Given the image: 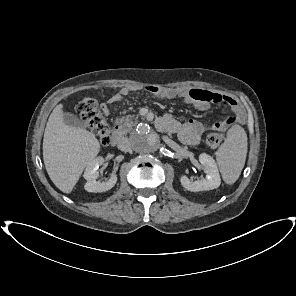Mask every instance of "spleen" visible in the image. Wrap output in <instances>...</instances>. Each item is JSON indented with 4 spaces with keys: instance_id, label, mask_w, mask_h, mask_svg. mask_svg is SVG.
<instances>
[{
    "instance_id": "1",
    "label": "spleen",
    "mask_w": 296,
    "mask_h": 296,
    "mask_svg": "<svg viewBox=\"0 0 296 296\" xmlns=\"http://www.w3.org/2000/svg\"><path fill=\"white\" fill-rule=\"evenodd\" d=\"M247 134L240 125H233L225 141L216 151V161L226 184H234L244 167L247 155Z\"/></svg>"
}]
</instances>
